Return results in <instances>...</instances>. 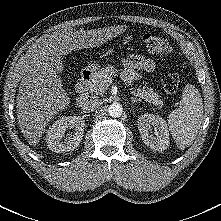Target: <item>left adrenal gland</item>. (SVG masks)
Returning <instances> with one entry per match:
<instances>
[{
    "mask_svg": "<svg viewBox=\"0 0 221 221\" xmlns=\"http://www.w3.org/2000/svg\"><path fill=\"white\" fill-rule=\"evenodd\" d=\"M139 101H141V100L137 99V98H132L131 103L134 104V103L139 102Z\"/></svg>",
    "mask_w": 221,
    "mask_h": 221,
    "instance_id": "a2214340",
    "label": "left adrenal gland"
}]
</instances>
